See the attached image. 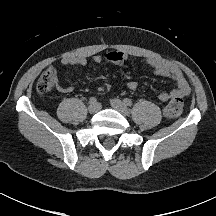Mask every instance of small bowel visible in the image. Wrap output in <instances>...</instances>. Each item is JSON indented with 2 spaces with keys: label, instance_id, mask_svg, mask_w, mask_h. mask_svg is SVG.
Instances as JSON below:
<instances>
[{
  "label": "small bowel",
  "instance_id": "small-bowel-1",
  "mask_svg": "<svg viewBox=\"0 0 216 216\" xmlns=\"http://www.w3.org/2000/svg\"><path fill=\"white\" fill-rule=\"evenodd\" d=\"M130 56L123 51H111L106 55H97L93 57L95 63H101L103 61H108L117 65H123L129 60ZM144 61L153 69V72L156 75L166 77L175 82L176 88L169 92H161L158 95V99L161 102H167L170 99L174 98H184L189 95L190 87L184 77L183 72L174 64L157 57H145ZM60 64L63 66H76L83 67L87 64V59L85 57H66L60 60ZM49 69L55 70L54 67ZM48 69V70H49ZM56 71V70H55ZM138 82L129 81L127 87L135 91L138 89ZM58 90L60 92H70L71 88L63 85H58Z\"/></svg>",
  "mask_w": 216,
  "mask_h": 216
}]
</instances>
